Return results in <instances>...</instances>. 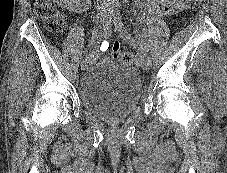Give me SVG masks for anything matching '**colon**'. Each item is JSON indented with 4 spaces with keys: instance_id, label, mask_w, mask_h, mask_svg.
<instances>
[{
    "instance_id": "obj_1",
    "label": "colon",
    "mask_w": 227,
    "mask_h": 173,
    "mask_svg": "<svg viewBox=\"0 0 227 173\" xmlns=\"http://www.w3.org/2000/svg\"><path fill=\"white\" fill-rule=\"evenodd\" d=\"M211 0H188L189 5L194 9H204L210 4ZM36 15L46 22L48 29L53 33L61 31L64 24V18L57 11L52 0H36ZM113 57L125 62H133L135 56L130 52H122L118 42L112 45Z\"/></svg>"
}]
</instances>
